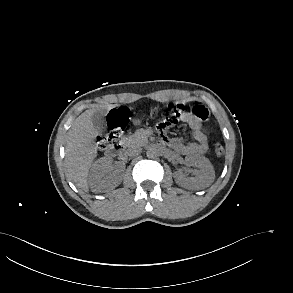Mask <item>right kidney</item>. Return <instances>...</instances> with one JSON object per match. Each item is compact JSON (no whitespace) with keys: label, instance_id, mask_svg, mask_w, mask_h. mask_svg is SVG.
<instances>
[{"label":"right kidney","instance_id":"obj_1","mask_svg":"<svg viewBox=\"0 0 293 293\" xmlns=\"http://www.w3.org/2000/svg\"><path fill=\"white\" fill-rule=\"evenodd\" d=\"M113 171V175L109 173ZM124 166L117 165L112 167V161L109 158L102 157L94 162L89 173V184L93 191H98L104 185L117 186L123 177Z\"/></svg>","mask_w":293,"mask_h":293}]
</instances>
